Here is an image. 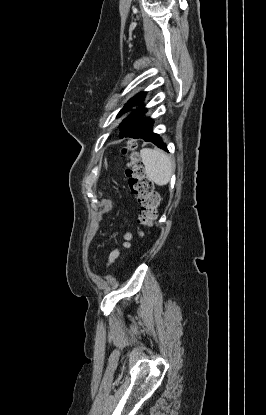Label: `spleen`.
Wrapping results in <instances>:
<instances>
[{
	"label": "spleen",
	"mask_w": 266,
	"mask_h": 415,
	"mask_svg": "<svg viewBox=\"0 0 266 415\" xmlns=\"http://www.w3.org/2000/svg\"><path fill=\"white\" fill-rule=\"evenodd\" d=\"M140 155L147 178L159 186L168 184L174 169L172 159L159 149L144 148Z\"/></svg>",
	"instance_id": "obj_1"
}]
</instances>
